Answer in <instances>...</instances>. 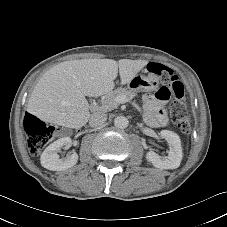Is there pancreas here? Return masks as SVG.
<instances>
[{
	"instance_id": "1",
	"label": "pancreas",
	"mask_w": 227,
	"mask_h": 227,
	"mask_svg": "<svg viewBox=\"0 0 227 227\" xmlns=\"http://www.w3.org/2000/svg\"><path fill=\"white\" fill-rule=\"evenodd\" d=\"M136 95L137 94L135 92H132L127 89H118V90L112 91L106 94L105 96H103L99 110L103 112L111 111L117 108L119 105L117 98L125 97L127 99H133Z\"/></svg>"
}]
</instances>
